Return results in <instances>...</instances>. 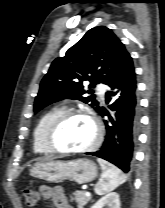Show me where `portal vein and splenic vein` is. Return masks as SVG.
<instances>
[{
  "mask_svg": "<svg viewBox=\"0 0 165 208\" xmlns=\"http://www.w3.org/2000/svg\"><path fill=\"white\" fill-rule=\"evenodd\" d=\"M85 195L90 196L91 194H90V192L87 191V192H85Z\"/></svg>",
  "mask_w": 165,
  "mask_h": 208,
  "instance_id": "1",
  "label": "portal vein and splenic vein"
}]
</instances>
